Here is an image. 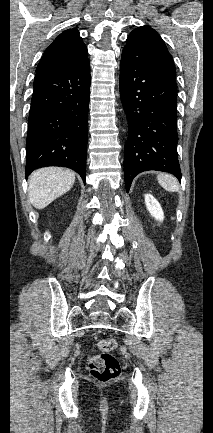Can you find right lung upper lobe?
I'll list each match as a JSON object with an SVG mask.
<instances>
[{
  "label": "right lung upper lobe",
  "mask_w": 213,
  "mask_h": 433,
  "mask_svg": "<svg viewBox=\"0 0 213 433\" xmlns=\"http://www.w3.org/2000/svg\"><path fill=\"white\" fill-rule=\"evenodd\" d=\"M87 48L75 28L63 31L46 49L36 73L75 67L87 57Z\"/></svg>",
  "instance_id": "obj_1"
}]
</instances>
